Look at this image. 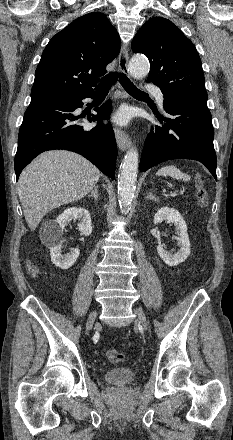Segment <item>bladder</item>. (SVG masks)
<instances>
[{
  "label": "bladder",
  "mask_w": 233,
  "mask_h": 440,
  "mask_svg": "<svg viewBox=\"0 0 233 440\" xmlns=\"http://www.w3.org/2000/svg\"><path fill=\"white\" fill-rule=\"evenodd\" d=\"M136 376V372L127 367L112 368L104 373L105 380L115 386L124 387L130 384Z\"/></svg>",
  "instance_id": "obj_1"
}]
</instances>
